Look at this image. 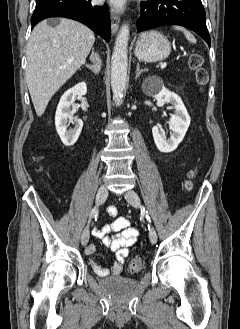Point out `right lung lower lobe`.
<instances>
[{"label": "right lung lower lobe", "instance_id": "right-lung-lower-lobe-1", "mask_svg": "<svg viewBox=\"0 0 240 329\" xmlns=\"http://www.w3.org/2000/svg\"><path fill=\"white\" fill-rule=\"evenodd\" d=\"M49 17H65L79 21L107 42L111 37L108 7L94 6L91 0H36V8L31 18L32 28Z\"/></svg>", "mask_w": 240, "mask_h": 329}]
</instances>
